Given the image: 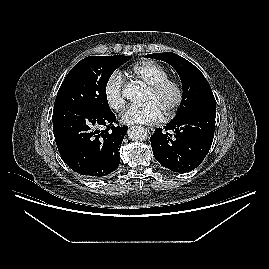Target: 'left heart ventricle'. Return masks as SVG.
<instances>
[{"label":"left heart ventricle","mask_w":269,"mask_h":269,"mask_svg":"<svg viewBox=\"0 0 269 269\" xmlns=\"http://www.w3.org/2000/svg\"><path fill=\"white\" fill-rule=\"evenodd\" d=\"M176 98L175 90L172 87L167 88L159 95H154L150 90L145 98V102H153L162 114L166 113L172 106Z\"/></svg>","instance_id":"obj_1"}]
</instances>
